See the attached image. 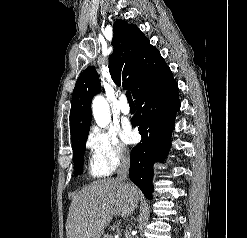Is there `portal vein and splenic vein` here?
<instances>
[{
    "instance_id": "portal-vein-and-splenic-vein-1",
    "label": "portal vein and splenic vein",
    "mask_w": 247,
    "mask_h": 238,
    "mask_svg": "<svg viewBox=\"0 0 247 238\" xmlns=\"http://www.w3.org/2000/svg\"><path fill=\"white\" fill-rule=\"evenodd\" d=\"M108 238H113L112 236H109Z\"/></svg>"
}]
</instances>
